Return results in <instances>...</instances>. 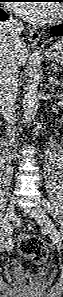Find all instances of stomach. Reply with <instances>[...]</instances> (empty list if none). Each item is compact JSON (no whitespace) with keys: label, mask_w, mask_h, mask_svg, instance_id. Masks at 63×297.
Segmentation results:
<instances>
[{"label":"stomach","mask_w":63,"mask_h":297,"mask_svg":"<svg viewBox=\"0 0 63 297\" xmlns=\"http://www.w3.org/2000/svg\"><path fill=\"white\" fill-rule=\"evenodd\" d=\"M45 57L54 63L63 64V39L56 41L44 51Z\"/></svg>","instance_id":"0dacf381"}]
</instances>
